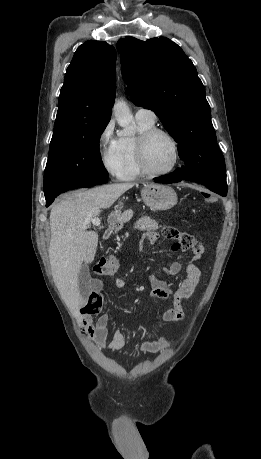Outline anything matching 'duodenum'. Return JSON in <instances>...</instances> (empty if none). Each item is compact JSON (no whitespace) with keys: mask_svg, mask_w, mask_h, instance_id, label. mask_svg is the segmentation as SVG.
<instances>
[{"mask_svg":"<svg viewBox=\"0 0 261 459\" xmlns=\"http://www.w3.org/2000/svg\"><path fill=\"white\" fill-rule=\"evenodd\" d=\"M117 231V227L114 225H109L105 232V238H110Z\"/></svg>","mask_w":261,"mask_h":459,"instance_id":"obj_1","label":"duodenum"}]
</instances>
